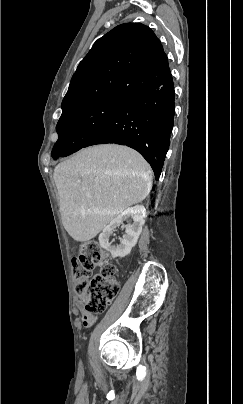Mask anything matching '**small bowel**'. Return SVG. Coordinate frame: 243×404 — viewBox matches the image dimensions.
Listing matches in <instances>:
<instances>
[{"label": "small bowel", "mask_w": 243, "mask_h": 404, "mask_svg": "<svg viewBox=\"0 0 243 404\" xmlns=\"http://www.w3.org/2000/svg\"><path fill=\"white\" fill-rule=\"evenodd\" d=\"M96 321V316L93 314H89L86 311L83 312L82 316V325L84 327H90Z\"/></svg>", "instance_id": "small-bowel-1"}]
</instances>
